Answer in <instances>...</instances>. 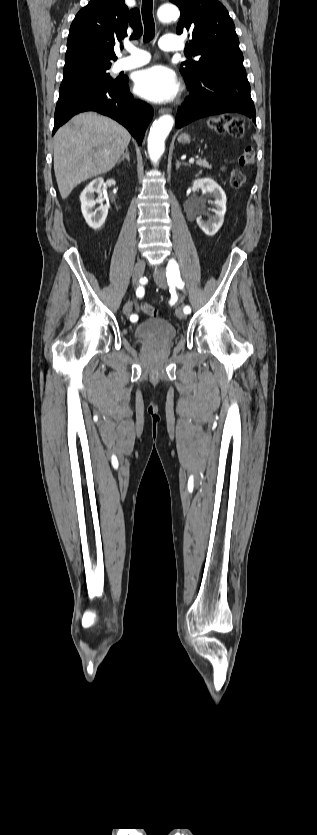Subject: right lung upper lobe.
<instances>
[{"label":"right lung upper lobe","instance_id":"obj_1","mask_svg":"<svg viewBox=\"0 0 317 835\" xmlns=\"http://www.w3.org/2000/svg\"><path fill=\"white\" fill-rule=\"evenodd\" d=\"M128 27L133 29V38L141 36L138 9L128 11L124 0H91L71 24L65 59L95 57L116 60L115 42L127 36Z\"/></svg>","mask_w":317,"mask_h":835}]
</instances>
